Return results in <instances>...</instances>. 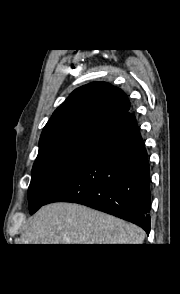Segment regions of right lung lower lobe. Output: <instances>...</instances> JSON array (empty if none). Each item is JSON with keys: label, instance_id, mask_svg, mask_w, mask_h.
<instances>
[{"label": "right lung lower lobe", "instance_id": "right-lung-lower-lobe-1", "mask_svg": "<svg viewBox=\"0 0 180 294\" xmlns=\"http://www.w3.org/2000/svg\"><path fill=\"white\" fill-rule=\"evenodd\" d=\"M149 183L147 152L132 114L98 143L45 204H83L135 223L149 234Z\"/></svg>", "mask_w": 180, "mask_h": 294}]
</instances>
